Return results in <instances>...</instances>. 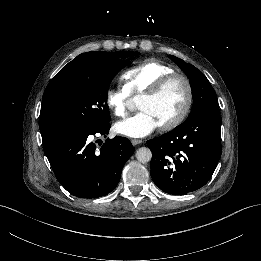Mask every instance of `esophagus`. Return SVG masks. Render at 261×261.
Returning <instances> with one entry per match:
<instances>
[{
	"instance_id": "obj_1",
	"label": "esophagus",
	"mask_w": 261,
	"mask_h": 261,
	"mask_svg": "<svg viewBox=\"0 0 261 261\" xmlns=\"http://www.w3.org/2000/svg\"><path fill=\"white\" fill-rule=\"evenodd\" d=\"M131 143L132 145H138L142 143L141 139H131Z\"/></svg>"
}]
</instances>
